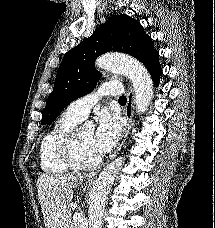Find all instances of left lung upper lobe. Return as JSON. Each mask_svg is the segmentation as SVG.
<instances>
[{
	"label": "left lung upper lobe",
	"instance_id": "1",
	"mask_svg": "<svg viewBox=\"0 0 215 228\" xmlns=\"http://www.w3.org/2000/svg\"><path fill=\"white\" fill-rule=\"evenodd\" d=\"M117 51L139 59L145 66L154 54L153 42L140 23L128 15H113L100 25L91 37L68 51L58 68L54 89L43 110L41 124L54 121L75 99L90 93L99 80L96 58Z\"/></svg>",
	"mask_w": 215,
	"mask_h": 228
}]
</instances>
